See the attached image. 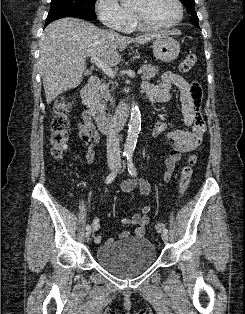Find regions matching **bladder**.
I'll return each mask as SVG.
<instances>
[{
    "label": "bladder",
    "instance_id": "obj_1",
    "mask_svg": "<svg viewBox=\"0 0 245 314\" xmlns=\"http://www.w3.org/2000/svg\"><path fill=\"white\" fill-rule=\"evenodd\" d=\"M96 261L121 277L142 273L156 260V249L147 238L131 237L118 242H105L96 249Z\"/></svg>",
    "mask_w": 245,
    "mask_h": 314
}]
</instances>
